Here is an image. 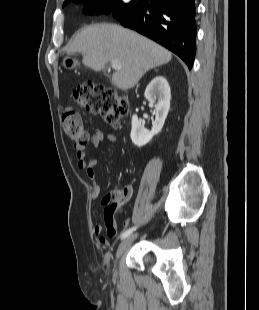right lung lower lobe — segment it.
Segmentation results:
<instances>
[{
    "instance_id": "obj_1",
    "label": "right lung lower lobe",
    "mask_w": 259,
    "mask_h": 310,
    "mask_svg": "<svg viewBox=\"0 0 259 310\" xmlns=\"http://www.w3.org/2000/svg\"><path fill=\"white\" fill-rule=\"evenodd\" d=\"M147 10L149 13L147 14ZM128 28L177 54L192 68L196 50L195 0L139 1L120 19Z\"/></svg>"
}]
</instances>
